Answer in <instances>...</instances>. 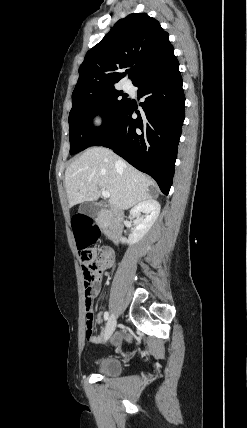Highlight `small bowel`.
<instances>
[{"label":"small bowel","mask_w":247,"mask_h":428,"mask_svg":"<svg viewBox=\"0 0 247 428\" xmlns=\"http://www.w3.org/2000/svg\"><path fill=\"white\" fill-rule=\"evenodd\" d=\"M102 258L104 260V268H110L115 262V256L113 252L109 249L103 250ZM100 290H101V278L91 286L89 295L86 296L85 298V305L87 304L88 300L92 305L93 299L99 294ZM87 340L91 343H99L102 340V335H94L92 339H89L87 337ZM119 341H120L119 336L114 339V342L116 343H118Z\"/></svg>","instance_id":"c3829d8e"}]
</instances>
